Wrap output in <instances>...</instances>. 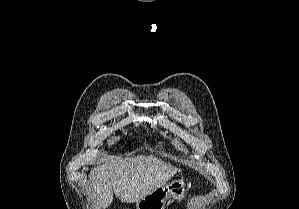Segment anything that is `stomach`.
I'll list each match as a JSON object with an SVG mask.
<instances>
[{
    "label": "stomach",
    "mask_w": 299,
    "mask_h": 209,
    "mask_svg": "<svg viewBox=\"0 0 299 209\" xmlns=\"http://www.w3.org/2000/svg\"><path fill=\"white\" fill-rule=\"evenodd\" d=\"M190 188V184L183 179H175L171 182L153 189L148 195L136 203V209H164L168 198L182 201Z\"/></svg>",
    "instance_id": "1"
}]
</instances>
